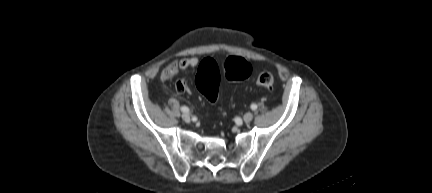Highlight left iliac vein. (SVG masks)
Wrapping results in <instances>:
<instances>
[{"label":"left iliac vein","instance_id":"left-iliac-vein-1","mask_svg":"<svg viewBox=\"0 0 432 193\" xmlns=\"http://www.w3.org/2000/svg\"><path fill=\"white\" fill-rule=\"evenodd\" d=\"M252 119H253V114H252L251 112H247V113H245L244 116H243V120H244V122H246V123L251 122Z\"/></svg>","mask_w":432,"mask_h":193}]
</instances>
